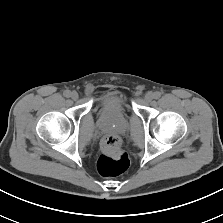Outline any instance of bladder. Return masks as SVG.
I'll return each mask as SVG.
<instances>
[{"label":"bladder","mask_w":223,"mask_h":223,"mask_svg":"<svg viewBox=\"0 0 223 223\" xmlns=\"http://www.w3.org/2000/svg\"><path fill=\"white\" fill-rule=\"evenodd\" d=\"M100 109L105 113L113 114L119 110H125L128 107L126 96L116 90L104 92L99 97Z\"/></svg>","instance_id":"obj_1"}]
</instances>
